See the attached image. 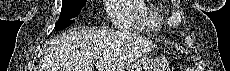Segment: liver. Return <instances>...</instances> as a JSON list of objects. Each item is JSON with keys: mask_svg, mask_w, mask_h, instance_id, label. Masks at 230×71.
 I'll use <instances>...</instances> for the list:
<instances>
[{"mask_svg": "<svg viewBox=\"0 0 230 71\" xmlns=\"http://www.w3.org/2000/svg\"><path fill=\"white\" fill-rule=\"evenodd\" d=\"M128 32L74 30L57 37L45 50L38 71H122L138 56L155 48Z\"/></svg>", "mask_w": 230, "mask_h": 71, "instance_id": "6515ba94", "label": "liver"}]
</instances>
